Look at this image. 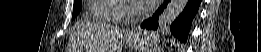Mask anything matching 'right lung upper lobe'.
<instances>
[{
	"instance_id": "right-lung-upper-lobe-1",
	"label": "right lung upper lobe",
	"mask_w": 261,
	"mask_h": 52,
	"mask_svg": "<svg viewBox=\"0 0 261 52\" xmlns=\"http://www.w3.org/2000/svg\"><path fill=\"white\" fill-rule=\"evenodd\" d=\"M79 0H74V3L78 2Z\"/></svg>"
}]
</instances>
